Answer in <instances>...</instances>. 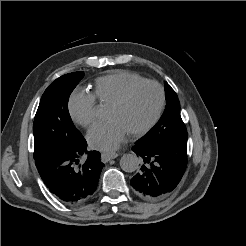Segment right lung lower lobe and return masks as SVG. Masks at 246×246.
<instances>
[{"mask_svg": "<svg viewBox=\"0 0 246 246\" xmlns=\"http://www.w3.org/2000/svg\"><path fill=\"white\" fill-rule=\"evenodd\" d=\"M83 136L68 148L54 150L35 160L37 169L49 191L61 202L80 204L94 193L104 164L100 153L87 151ZM87 154L84 163L79 158ZM78 165V166H77Z\"/></svg>", "mask_w": 246, "mask_h": 246, "instance_id": "right-lung-lower-lobe-1", "label": "right lung lower lobe"}]
</instances>
